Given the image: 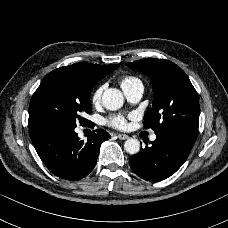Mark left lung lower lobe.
I'll return each mask as SVG.
<instances>
[{"label": "left lung lower lobe", "mask_w": 228, "mask_h": 228, "mask_svg": "<svg viewBox=\"0 0 228 228\" xmlns=\"http://www.w3.org/2000/svg\"><path fill=\"white\" fill-rule=\"evenodd\" d=\"M195 141L177 134H156L155 141L129 158L130 167L147 181L164 180L186 161Z\"/></svg>", "instance_id": "left-lung-lower-lobe-1"}]
</instances>
